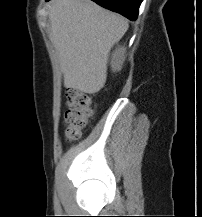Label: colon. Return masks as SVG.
I'll list each match as a JSON object with an SVG mask.
<instances>
[{"label":"colon","mask_w":202,"mask_h":217,"mask_svg":"<svg viewBox=\"0 0 202 217\" xmlns=\"http://www.w3.org/2000/svg\"><path fill=\"white\" fill-rule=\"evenodd\" d=\"M66 97L65 138L73 141L82 135L92 119L93 99L90 95L73 89L67 91Z\"/></svg>","instance_id":"colon-1"}]
</instances>
